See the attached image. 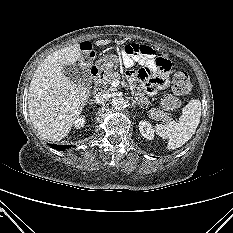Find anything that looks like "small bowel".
Returning a JSON list of instances; mask_svg holds the SVG:
<instances>
[{"mask_svg": "<svg viewBox=\"0 0 233 233\" xmlns=\"http://www.w3.org/2000/svg\"><path fill=\"white\" fill-rule=\"evenodd\" d=\"M80 48L85 61H90L94 57V50L89 42H83ZM122 60L128 68L140 66L137 72H131L129 76L140 81L150 95L167 87L170 61L153 48L135 43L127 44L122 50Z\"/></svg>", "mask_w": 233, "mask_h": 233, "instance_id": "small-bowel-1", "label": "small bowel"}]
</instances>
